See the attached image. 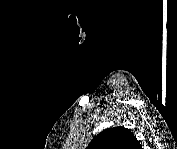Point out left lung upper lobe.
Returning <instances> with one entry per match:
<instances>
[{
  "instance_id": "1",
  "label": "left lung upper lobe",
  "mask_w": 177,
  "mask_h": 149,
  "mask_svg": "<svg viewBox=\"0 0 177 149\" xmlns=\"http://www.w3.org/2000/svg\"><path fill=\"white\" fill-rule=\"evenodd\" d=\"M139 141L124 127L107 128L92 139L88 149H139Z\"/></svg>"
}]
</instances>
